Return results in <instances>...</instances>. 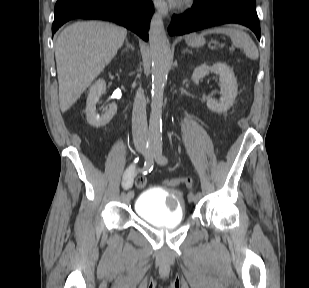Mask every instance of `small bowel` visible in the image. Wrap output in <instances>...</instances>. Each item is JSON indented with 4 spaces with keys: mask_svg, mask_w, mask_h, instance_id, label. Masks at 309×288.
Masks as SVG:
<instances>
[{
    "mask_svg": "<svg viewBox=\"0 0 309 288\" xmlns=\"http://www.w3.org/2000/svg\"><path fill=\"white\" fill-rule=\"evenodd\" d=\"M137 174V168L135 166H130L126 169L123 175L122 185L124 188H130L133 184V180Z\"/></svg>",
    "mask_w": 309,
    "mask_h": 288,
    "instance_id": "c3829d8e",
    "label": "small bowel"
}]
</instances>
